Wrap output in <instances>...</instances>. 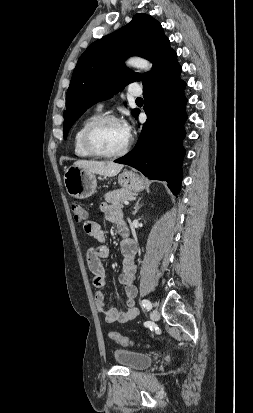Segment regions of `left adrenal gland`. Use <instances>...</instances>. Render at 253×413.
<instances>
[{
    "label": "left adrenal gland",
    "mask_w": 253,
    "mask_h": 413,
    "mask_svg": "<svg viewBox=\"0 0 253 413\" xmlns=\"http://www.w3.org/2000/svg\"><path fill=\"white\" fill-rule=\"evenodd\" d=\"M141 197L136 201L135 206H134V211L132 212L133 215H135L138 210L142 207V204H140Z\"/></svg>",
    "instance_id": "a2214340"
}]
</instances>
